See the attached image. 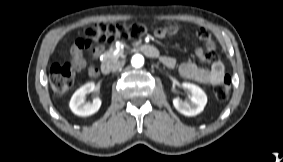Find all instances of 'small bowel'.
Listing matches in <instances>:
<instances>
[{"mask_svg":"<svg viewBox=\"0 0 283 162\" xmlns=\"http://www.w3.org/2000/svg\"><path fill=\"white\" fill-rule=\"evenodd\" d=\"M178 31L179 26L171 23L165 27L157 28L154 35L157 38H164L168 35H175ZM198 36L204 41L205 48L196 49V57L203 62H211L210 68H203L195 62L186 61L179 66L180 75L202 84L217 85L225 77L224 64L220 59L214 57L215 43L210 34L202 28L199 30ZM103 50V46L93 47L86 39L79 38L70 49V63L77 71L87 69L90 78L97 79L102 75V70L87 62L84 51L88 52L91 58H98L103 53ZM161 61L170 68L176 65L175 59L171 56H163Z\"/></svg>","mask_w":283,"mask_h":162,"instance_id":"c3829d8e","label":"small bowel"}]
</instances>
